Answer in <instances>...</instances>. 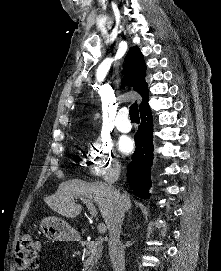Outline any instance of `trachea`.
I'll return each mask as SVG.
<instances>
[{
    "mask_svg": "<svg viewBox=\"0 0 221 271\" xmlns=\"http://www.w3.org/2000/svg\"><path fill=\"white\" fill-rule=\"evenodd\" d=\"M129 115H130V119L132 121H139L140 120L139 112H138V105L136 102L130 106Z\"/></svg>",
    "mask_w": 221,
    "mask_h": 271,
    "instance_id": "3493384b",
    "label": "trachea"
}]
</instances>
